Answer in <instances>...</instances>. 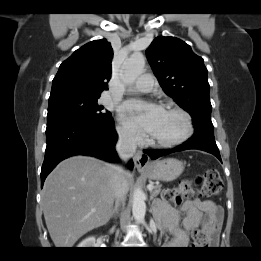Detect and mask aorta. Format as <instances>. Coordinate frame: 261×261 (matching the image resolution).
I'll list each match as a JSON object with an SVG mask.
<instances>
[{"label": "aorta", "mask_w": 261, "mask_h": 261, "mask_svg": "<svg viewBox=\"0 0 261 261\" xmlns=\"http://www.w3.org/2000/svg\"><path fill=\"white\" fill-rule=\"evenodd\" d=\"M145 58L134 53L123 63V81L132 84L144 72ZM146 213L145 194L141 188H135L132 200V214L137 222H143Z\"/></svg>", "instance_id": "1"}]
</instances>
